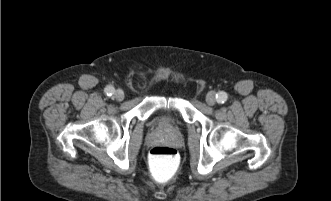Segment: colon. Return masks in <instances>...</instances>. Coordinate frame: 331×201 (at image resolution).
Wrapping results in <instances>:
<instances>
[{
  "label": "colon",
  "mask_w": 331,
  "mask_h": 201,
  "mask_svg": "<svg viewBox=\"0 0 331 201\" xmlns=\"http://www.w3.org/2000/svg\"><path fill=\"white\" fill-rule=\"evenodd\" d=\"M148 165L152 177L159 183H165L177 175L180 156L173 147L155 146L150 150Z\"/></svg>",
  "instance_id": "obj_1"
}]
</instances>
